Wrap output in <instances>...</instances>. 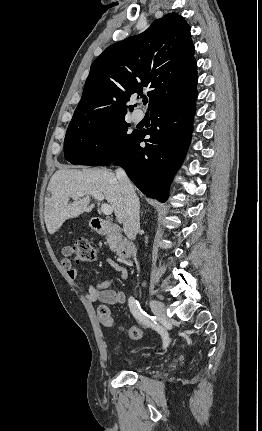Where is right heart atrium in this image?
<instances>
[{"label": "right heart atrium", "instance_id": "right-heart-atrium-1", "mask_svg": "<svg viewBox=\"0 0 262 431\" xmlns=\"http://www.w3.org/2000/svg\"><path fill=\"white\" fill-rule=\"evenodd\" d=\"M108 137V134L107 135H105V138H107Z\"/></svg>", "mask_w": 262, "mask_h": 431}]
</instances>
